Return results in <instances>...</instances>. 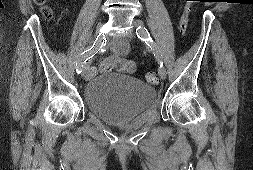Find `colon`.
I'll return each instance as SVG.
<instances>
[{
	"instance_id": "colon-1",
	"label": "colon",
	"mask_w": 253,
	"mask_h": 170,
	"mask_svg": "<svg viewBox=\"0 0 253 170\" xmlns=\"http://www.w3.org/2000/svg\"><path fill=\"white\" fill-rule=\"evenodd\" d=\"M194 0H187L184 8H183V13L181 15L180 21H179V30L181 32V34H185L187 29H188V25H189V20H190V14L192 12L193 9V5L191 4ZM34 2L41 6L42 8V13L46 18L51 17L52 11L50 9L49 6L46 5V0H34ZM115 57H112L111 59H109L106 63H104L102 65V69L103 70H109L112 68V63L115 60ZM135 69V65H129L126 67V70L128 72L134 71ZM146 80L149 83H157L158 82V75L157 72L155 71H149L146 73Z\"/></svg>"
}]
</instances>
